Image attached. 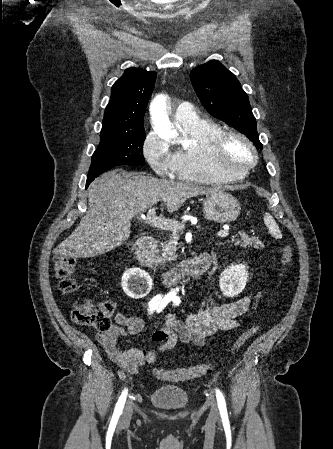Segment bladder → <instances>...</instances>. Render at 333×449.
Instances as JSON below:
<instances>
[{
    "mask_svg": "<svg viewBox=\"0 0 333 449\" xmlns=\"http://www.w3.org/2000/svg\"><path fill=\"white\" fill-rule=\"evenodd\" d=\"M149 400L157 408L175 410L186 407L189 398L183 389L177 386L163 385L150 393Z\"/></svg>",
    "mask_w": 333,
    "mask_h": 449,
    "instance_id": "bladder-1",
    "label": "bladder"
}]
</instances>
